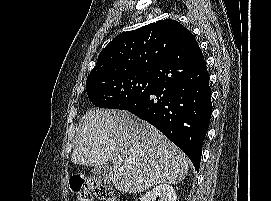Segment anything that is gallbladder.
Segmentation results:
<instances>
[{"mask_svg":"<svg viewBox=\"0 0 271 201\" xmlns=\"http://www.w3.org/2000/svg\"><path fill=\"white\" fill-rule=\"evenodd\" d=\"M92 179L97 183L109 184L112 178V166L105 163L91 170Z\"/></svg>","mask_w":271,"mask_h":201,"instance_id":"obj_1","label":"gallbladder"}]
</instances>
